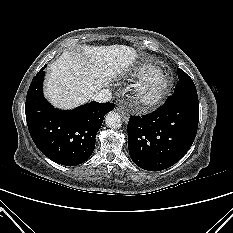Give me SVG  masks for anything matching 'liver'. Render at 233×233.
<instances>
[{"mask_svg": "<svg viewBox=\"0 0 233 233\" xmlns=\"http://www.w3.org/2000/svg\"><path fill=\"white\" fill-rule=\"evenodd\" d=\"M136 50L125 45L81 46L64 51L48 70L45 96L57 108L72 109L109 86L112 79L133 64Z\"/></svg>", "mask_w": 233, "mask_h": 233, "instance_id": "liver-1", "label": "liver"}]
</instances>
